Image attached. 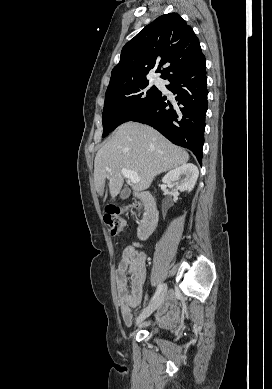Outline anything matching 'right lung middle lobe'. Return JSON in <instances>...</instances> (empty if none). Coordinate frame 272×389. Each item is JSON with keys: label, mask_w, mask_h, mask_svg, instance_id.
<instances>
[{"label": "right lung middle lobe", "mask_w": 272, "mask_h": 389, "mask_svg": "<svg viewBox=\"0 0 272 389\" xmlns=\"http://www.w3.org/2000/svg\"><path fill=\"white\" fill-rule=\"evenodd\" d=\"M159 94L160 91L155 86H151L148 80L106 92L102 114V137H106L122 123L131 121Z\"/></svg>", "instance_id": "1"}]
</instances>
